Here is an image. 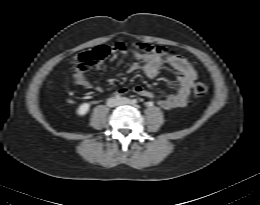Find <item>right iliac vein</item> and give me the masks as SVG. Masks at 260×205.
Returning <instances> with one entry per match:
<instances>
[{"mask_svg": "<svg viewBox=\"0 0 260 205\" xmlns=\"http://www.w3.org/2000/svg\"><path fill=\"white\" fill-rule=\"evenodd\" d=\"M107 105H108L109 107H116V106H118V105H119V104H118V99H116V98H110V99H108Z\"/></svg>", "mask_w": 260, "mask_h": 205, "instance_id": "right-iliac-vein-1", "label": "right iliac vein"}]
</instances>
